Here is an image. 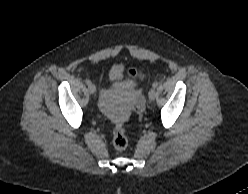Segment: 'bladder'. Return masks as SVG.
Instances as JSON below:
<instances>
[{
	"instance_id": "1",
	"label": "bladder",
	"mask_w": 248,
	"mask_h": 194,
	"mask_svg": "<svg viewBox=\"0 0 248 194\" xmlns=\"http://www.w3.org/2000/svg\"><path fill=\"white\" fill-rule=\"evenodd\" d=\"M113 90L116 92H131L135 90V84L132 80L126 79L115 83Z\"/></svg>"
}]
</instances>
